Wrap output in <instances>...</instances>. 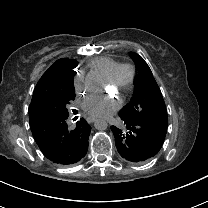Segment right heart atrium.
<instances>
[{"label":"right heart atrium","mask_w":208,"mask_h":208,"mask_svg":"<svg viewBox=\"0 0 208 208\" xmlns=\"http://www.w3.org/2000/svg\"><path fill=\"white\" fill-rule=\"evenodd\" d=\"M72 88L76 95L85 96L88 94L87 80L81 71H76L72 79Z\"/></svg>","instance_id":"1"}]
</instances>
